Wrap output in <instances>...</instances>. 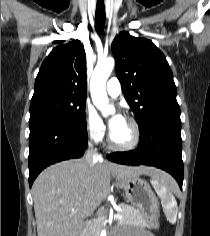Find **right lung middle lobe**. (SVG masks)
Listing matches in <instances>:
<instances>
[{
    "label": "right lung middle lobe",
    "instance_id": "right-lung-middle-lobe-1",
    "mask_svg": "<svg viewBox=\"0 0 210 236\" xmlns=\"http://www.w3.org/2000/svg\"><path fill=\"white\" fill-rule=\"evenodd\" d=\"M86 97L50 95L31 101L30 128L45 123L70 124L86 129Z\"/></svg>",
    "mask_w": 210,
    "mask_h": 236
}]
</instances>
